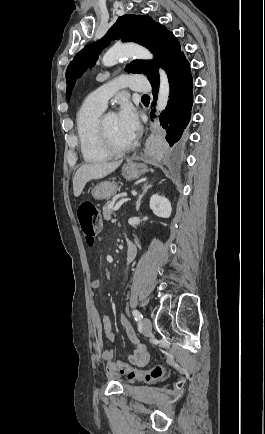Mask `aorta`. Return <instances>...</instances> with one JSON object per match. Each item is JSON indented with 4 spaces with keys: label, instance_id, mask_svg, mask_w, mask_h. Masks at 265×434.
I'll list each match as a JSON object with an SVG mask.
<instances>
[{
    "label": "aorta",
    "instance_id": "obj_1",
    "mask_svg": "<svg viewBox=\"0 0 265 434\" xmlns=\"http://www.w3.org/2000/svg\"><path fill=\"white\" fill-rule=\"evenodd\" d=\"M123 56H133V58H138V60H152L153 54H150L149 50L143 48V46H136V44H126L122 48H117L113 46L110 48L102 58L103 66H116L118 64L119 58ZM160 74V88L157 100V112H163L165 110L170 94V86L164 70H159Z\"/></svg>",
    "mask_w": 265,
    "mask_h": 434
}]
</instances>
